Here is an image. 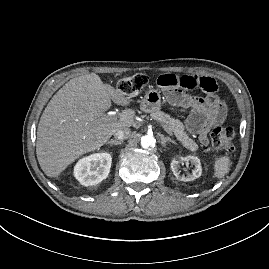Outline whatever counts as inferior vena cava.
<instances>
[{
	"label": "inferior vena cava",
	"instance_id": "inferior-vena-cava-1",
	"mask_svg": "<svg viewBox=\"0 0 269 269\" xmlns=\"http://www.w3.org/2000/svg\"><path fill=\"white\" fill-rule=\"evenodd\" d=\"M131 131L129 128H123V129H119L115 132L114 137L117 140H123L126 139L129 135H130Z\"/></svg>",
	"mask_w": 269,
	"mask_h": 269
}]
</instances>
